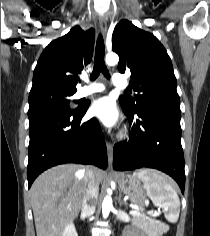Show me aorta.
Listing matches in <instances>:
<instances>
[{
	"instance_id": "1",
	"label": "aorta",
	"mask_w": 210,
	"mask_h": 236,
	"mask_svg": "<svg viewBox=\"0 0 210 236\" xmlns=\"http://www.w3.org/2000/svg\"><path fill=\"white\" fill-rule=\"evenodd\" d=\"M105 61L108 65L113 66L116 65L119 62V57L116 53H108L106 55ZM111 190L108 189V193ZM113 208L112 205V198L110 195H106L103 202H102V215L103 218H107L109 216V213L111 211V209Z\"/></svg>"
}]
</instances>
